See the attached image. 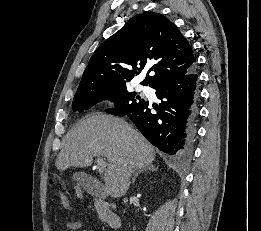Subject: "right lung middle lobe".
I'll return each mask as SVG.
<instances>
[{"label":"right lung middle lobe","instance_id":"right-lung-middle-lobe-1","mask_svg":"<svg viewBox=\"0 0 261 231\" xmlns=\"http://www.w3.org/2000/svg\"><path fill=\"white\" fill-rule=\"evenodd\" d=\"M107 99L114 102L115 108L107 109L106 112L116 116H124L146 102L136 93H129L126 86H121L75 96L72 103L73 111L83 112L97 102Z\"/></svg>","mask_w":261,"mask_h":231}]
</instances>
